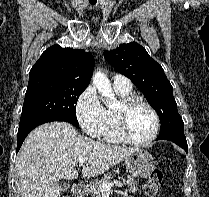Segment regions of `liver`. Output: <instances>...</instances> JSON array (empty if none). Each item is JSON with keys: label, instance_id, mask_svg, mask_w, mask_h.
<instances>
[{"label": "liver", "instance_id": "obj_1", "mask_svg": "<svg viewBox=\"0 0 209 197\" xmlns=\"http://www.w3.org/2000/svg\"><path fill=\"white\" fill-rule=\"evenodd\" d=\"M137 148H124L80 135L66 122L35 128L25 139L16 160L22 197H60L59 180L78 176L75 166L85 159L83 177L103 174Z\"/></svg>", "mask_w": 209, "mask_h": 197}]
</instances>
